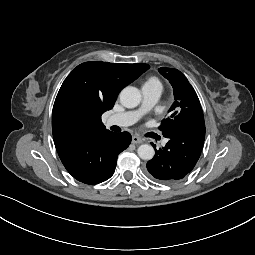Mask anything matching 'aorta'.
<instances>
[{
	"instance_id": "1",
	"label": "aorta",
	"mask_w": 255,
	"mask_h": 255,
	"mask_svg": "<svg viewBox=\"0 0 255 255\" xmlns=\"http://www.w3.org/2000/svg\"><path fill=\"white\" fill-rule=\"evenodd\" d=\"M141 102V93L135 87H126L120 93V103L126 108H134ZM155 151L151 145L143 144L138 148V155L143 160H151Z\"/></svg>"
}]
</instances>
